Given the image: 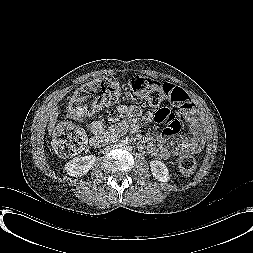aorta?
Here are the masks:
<instances>
[{"instance_id":"762f6f07","label":"aorta","mask_w":253,"mask_h":253,"mask_svg":"<svg viewBox=\"0 0 253 253\" xmlns=\"http://www.w3.org/2000/svg\"><path fill=\"white\" fill-rule=\"evenodd\" d=\"M127 146H128V145H127V143H126L125 141H120V142H119V147H120L121 149L124 150V149L127 148Z\"/></svg>"}]
</instances>
